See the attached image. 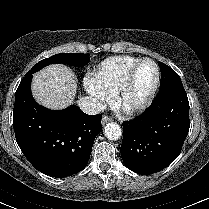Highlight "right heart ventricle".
<instances>
[{"mask_svg":"<svg viewBox=\"0 0 209 209\" xmlns=\"http://www.w3.org/2000/svg\"><path fill=\"white\" fill-rule=\"evenodd\" d=\"M139 57L118 55L105 59L93 73V79L110 95H115L128 70Z\"/></svg>","mask_w":209,"mask_h":209,"instance_id":"obj_1","label":"right heart ventricle"}]
</instances>
